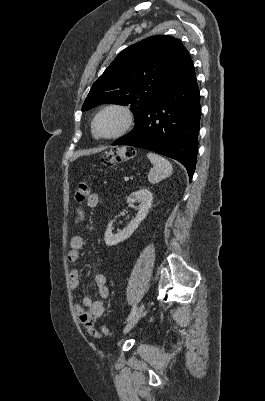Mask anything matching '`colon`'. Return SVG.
I'll use <instances>...</instances> for the list:
<instances>
[{
  "instance_id": "colon-1",
  "label": "colon",
  "mask_w": 265,
  "mask_h": 401,
  "mask_svg": "<svg viewBox=\"0 0 265 401\" xmlns=\"http://www.w3.org/2000/svg\"><path fill=\"white\" fill-rule=\"evenodd\" d=\"M135 155V152L132 148L129 147H117L112 148L109 151L105 152L102 156V161L107 166H113L121 161L129 160ZM90 187L87 183H80L75 191V199L80 204L84 201L88 200L90 197ZM89 332L94 336H100V333L96 331L94 328H89ZM110 330L103 326L101 327V333L109 334Z\"/></svg>"
}]
</instances>
